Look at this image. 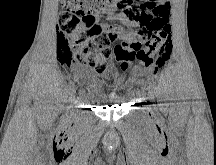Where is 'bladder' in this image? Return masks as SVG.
I'll return each instance as SVG.
<instances>
[{"label": "bladder", "instance_id": "31cf9c89", "mask_svg": "<svg viewBox=\"0 0 216 165\" xmlns=\"http://www.w3.org/2000/svg\"><path fill=\"white\" fill-rule=\"evenodd\" d=\"M106 85H107V86H113V85H114V82H113V81H107V82H106Z\"/></svg>", "mask_w": 216, "mask_h": 165}]
</instances>
